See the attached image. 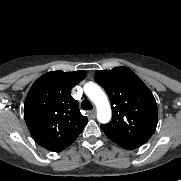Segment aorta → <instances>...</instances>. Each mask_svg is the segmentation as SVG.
Listing matches in <instances>:
<instances>
[{
  "label": "aorta",
  "instance_id": "obj_1",
  "mask_svg": "<svg viewBox=\"0 0 181 181\" xmlns=\"http://www.w3.org/2000/svg\"><path fill=\"white\" fill-rule=\"evenodd\" d=\"M84 91L96 105L99 122L107 123L111 119V107L103 90L95 83L88 82L84 86Z\"/></svg>",
  "mask_w": 181,
  "mask_h": 181
}]
</instances>
